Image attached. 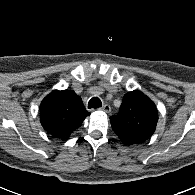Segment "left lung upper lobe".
<instances>
[{
    "instance_id": "obj_1",
    "label": "left lung upper lobe",
    "mask_w": 195,
    "mask_h": 195,
    "mask_svg": "<svg viewBox=\"0 0 195 195\" xmlns=\"http://www.w3.org/2000/svg\"><path fill=\"white\" fill-rule=\"evenodd\" d=\"M110 121L123 144H139L154 133L158 121L157 108L152 100L135 90L125 94L119 113L110 117Z\"/></svg>"
}]
</instances>
